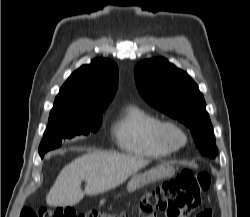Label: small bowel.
Masks as SVG:
<instances>
[{"label":"small bowel","instance_id":"c3829d8e","mask_svg":"<svg viewBox=\"0 0 250 217\" xmlns=\"http://www.w3.org/2000/svg\"><path fill=\"white\" fill-rule=\"evenodd\" d=\"M195 209L196 208H192V209H189V210H187L186 212H184V214H190V213H192L193 211H195ZM150 217H156V215H151ZM179 217H181L180 215H179ZM200 217H207L206 215H204V214H202V215H200Z\"/></svg>","mask_w":250,"mask_h":217}]
</instances>
